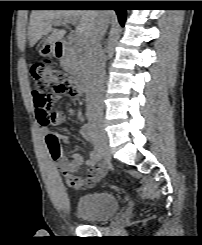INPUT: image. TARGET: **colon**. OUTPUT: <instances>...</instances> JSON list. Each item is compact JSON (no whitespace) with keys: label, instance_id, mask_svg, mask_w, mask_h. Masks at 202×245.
<instances>
[{"label":"colon","instance_id":"5ec220e1","mask_svg":"<svg viewBox=\"0 0 202 245\" xmlns=\"http://www.w3.org/2000/svg\"><path fill=\"white\" fill-rule=\"evenodd\" d=\"M30 76L33 80L32 97L39 121L43 124L53 125L54 99L57 95H67L75 100L77 93L74 86L64 79L60 70L50 68L43 62L32 64ZM51 155L58 156L61 150L58 140L50 143Z\"/></svg>","mask_w":202,"mask_h":245}]
</instances>
